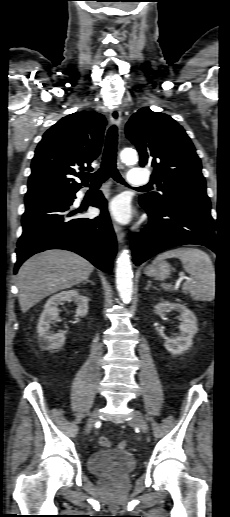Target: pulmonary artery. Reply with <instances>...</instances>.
<instances>
[{
    "instance_id": "obj_1",
    "label": "pulmonary artery",
    "mask_w": 230,
    "mask_h": 517,
    "mask_svg": "<svg viewBox=\"0 0 230 517\" xmlns=\"http://www.w3.org/2000/svg\"><path fill=\"white\" fill-rule=\"evenodd\" d=\"M149 174L144 169H130L128 183L130 185H144L149 182Z\"/></svg>"
}]
</instances>
